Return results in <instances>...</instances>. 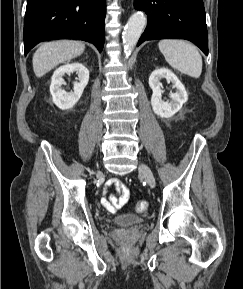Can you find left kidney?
Wrapping results in <instances>:
<instances>
[{
	"label": "left kidney",
	"mask_w": 243,
	"mask_h": 289,
	"mask_svg": "<svg viewBox=\"0 0 243 289\" xmlns=\"http://www.w3.org/2000/svg\"><path fill=\"white\" fill-rule=\"evenodd\" d=\"M161 79H166L171 82L173 87L177 89L175 93H170L171 101L162 99L163 90L161 89ZM149 86L153 93L151 97V106L154 113L161 118H170L177 113L188 100V95L184 85L180 82L177 76L166 68L156 69L149 77Z\"/></svg>",
	"instance_id": "left-kidney-1"
}]
</instances>
